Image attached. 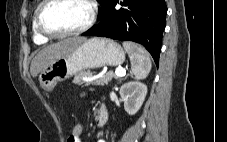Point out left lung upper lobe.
<instances>
[{"label": "left lung upper lobe", "mask_w": 227, "mask_h": 142, "mask_svg": "<svg viewBox=\"0 0 227 142\" xmlns=\"http://www.w3.org/2000/svg\"><path fill=\"white\" fill-rule=\"evenodd\" d=\"M98 2L102 5V9L98 12V17H100L102 10L107 6L110 0H98Z\"/></svg>", "instance_id": "1"}]
</instances>
